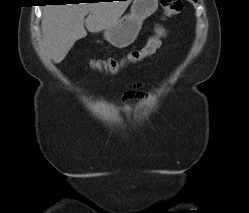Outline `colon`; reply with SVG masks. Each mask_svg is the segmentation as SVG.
<instances>
[{"instance_id":"5ec220e1","label":"colon","mask_w":249,"mask_h":213,"mask_svg":"<svg viewBox=\"0 0 249 213\" xmlns=\"http://www.w3.org/2000/svg\"><path fill=\"white\" fill-rule=\"evenodd\" d=\"M161 5L164 9L166 17H173L181 13L184 8L182 0H161ZM166 35L164 27L159 26L155 33L148 39L147 43L140 50L132 51L124 59L118 60L115 58H109L107 60L92 61L93 68L99 71H105L108 73H116L121 67L128 64L129 60H142L148 56L153 55L160 46L161 39Z\"/></svg>"}]
</instances>
